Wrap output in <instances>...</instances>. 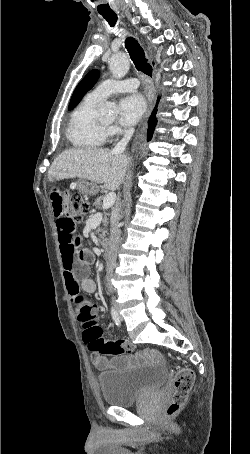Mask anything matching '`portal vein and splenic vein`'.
<instances>
[{
	"instance_id": "18ae733b",
	"label": "portal vein and splenic vein",
	"mask_w": 250,
	"mask_h": 454,
	"mask_svg": "<svg viewBox=\"0 0 250 454\" xmlns=\"http://www.w3.org/2000/svg\"><path fill=\"white\" fill-rule=\"evenodd\" d=\"M115 200H116V194L114 192L108 193L103 199L102 209L105 210V209L111 208L114 205Z\"/></svg>"
}]
</instances>
